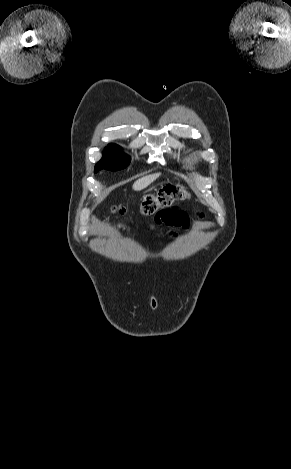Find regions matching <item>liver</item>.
Instances as JSON below:
<instances>
[{"mask_svg":"<svg viewBox=\"0 0 291 469\" xmlns=\"http://www.w3.org/2000/svg\"><path fill=\"white\" fill-rule=\"evenodd\" d=\"M160 176V173H155L151 174L148 176H144L140 179H138L134 184H133V190L135 191H140L145 189L147 186H149L153 181H155L158 177Z\"/></svg>","mask_w":291,"mask_h":469,"instance_id":"liver-1","label":"liver"}]
</instances>
